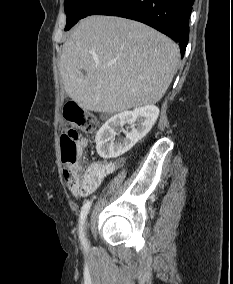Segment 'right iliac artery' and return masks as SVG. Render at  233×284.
<instances>
[{"label":"right iliac artery","mask_w":233,"mask_h":284,"mask_svg":"<svg viewBox=\"0 0 233 284\" xmlns=\"http://www.w3.org/2000/svg\"><path fill=\"white\" fill-rule=\"evenodd\" d=\"M91 201H86L85 204L82 206L81 208V213H80V220H79V237L81 239V242L83 244V246L86 248L87 247V243H86V239L84 237V232H83V223L85 221V218L90 210L91 207Z\"/></svg>","instance_id":"obj_1"}]
</instances>
